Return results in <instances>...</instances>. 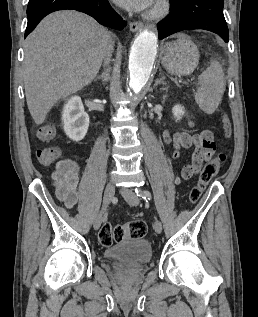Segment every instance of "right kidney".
Listing matches in <instances>:
<instances>
[{"instance_id":"right-kidney-1","label":"right kidney","mask_w":258,"mask_h":317,"mask_svg":"<svg viewBox=\"0 0 258 317\" xmlns=\"http://www.w3.org/2000/svg\"><path fill=\"white\" fill-rule=\"evenodd\" d=\"M63 128L71 140H82L88 126L89 116L84 110L81 96H71L62 112Z\"/></svg>"}]
</instances>
